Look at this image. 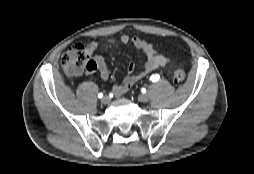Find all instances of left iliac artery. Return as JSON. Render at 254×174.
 Wrapping results in <instances>:
<instances>
[{"mask_svg": "<svg viewBox=\"0 0 254 174\" xmlns=\"http://www.w3.org/2000/svg\"><path fill=\"white\" fill-rule=\"evenodd\" d=\"M159 79H160V76H159L158 74L152 75V76L150 77V80H151L152 82H157Z\"/></svg>", "mask_w": 254, "mask_h": 174, "instance_id": "44dca946", "label": "left iliac artery"}]
</instances>
